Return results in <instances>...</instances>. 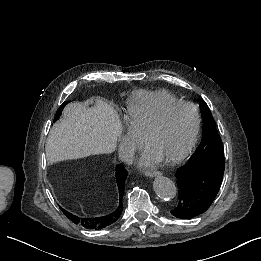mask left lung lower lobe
<instances>
[{
	"mask_svg": "<svg viewBox=\"0 0 261 261\" xmlns=\"http://www.w3.org/2000/svg\"><path fill=\"white\" fill-rule=\"evenodd\" d=\"M224 170V157L192 155L175 174L178 204L171 214L179 219H189L207 211L220 190Z\"/></svg>",
	"mask_w": 261,
	"mask_h": 261,
	"instance_id": "0a47b994",
	"label": "left lung lower lobe"
}]
</instances>
